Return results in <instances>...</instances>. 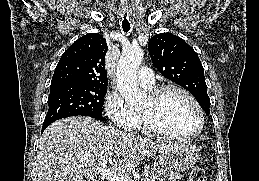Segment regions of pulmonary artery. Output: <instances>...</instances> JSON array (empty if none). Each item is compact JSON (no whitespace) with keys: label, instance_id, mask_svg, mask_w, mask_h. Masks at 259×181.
I'll return each instance as SVG.
<instances>
[{"label":"pulmonary artery","instance_id":"e3ab8cb5","mask_svg":"<svg viewBox=\"0 0 259 181\" xmlns=\"http://www.w3.org/2000/svg\"><path fill=\"white\" fill-rule=\"evenodd\" d=\"M138 82L146 89L153 88L155 84L153 71L147 67L142 68L139 73Z\"/></svg>","mask_w":259,"mask_h":181}]
</instances>
